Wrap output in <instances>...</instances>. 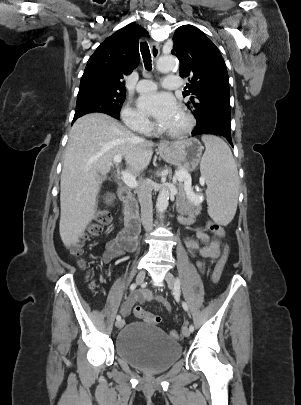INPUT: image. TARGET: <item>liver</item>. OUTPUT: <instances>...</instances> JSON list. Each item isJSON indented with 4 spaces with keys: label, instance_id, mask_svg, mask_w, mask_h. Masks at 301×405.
<instances>
[{
    "label": "liver",
    "instance_id": "liver-1",
    "mask_svg": "<svg viewBox=\"0 0 301 405\" xmlns=\"http://www.w3.org/2000/svg\"><path fill=\"white\" fill-rule=\"evenodd\" d=\"M153 146L106 114L93 113L76 120L60 182L59 232L65 245L78 242L93 220L102 176L110 171L114 156H123L129 173L136 175L149 165Z\"/></svg>",
    "mask_w": 301,
    "mask_h": 405
}]
</instances>
